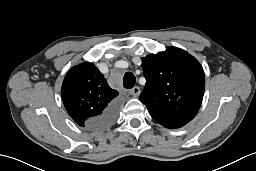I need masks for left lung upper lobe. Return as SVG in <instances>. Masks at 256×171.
Listing matches in <instances>:
<instances>
[{
    "label": "left lung upper lobe",
    "mask_w": 256,
    "mask_h": 171,
    "mask_svg": "<svg viewBox=\"0 0 256 171\" xmlns=\"http://www.w3.org/2000/svg\"><path fill=\"white\" fill-rule=\"evenodd\" d=\"M146 84L140 100L166 128H180L197 114L205 88L200 63L186 51L169 47L142 59Z\"/></svg>",
    "instance_id": "obj_1"
}]
</instances>
